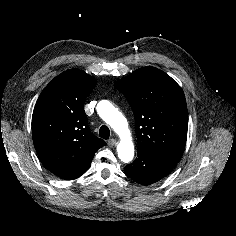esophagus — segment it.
Masks as SVG:
<instances>
[{"label": "esophagus", "instance_id": "obj_1", "mask_svg": "<svg viewBox=\"0 0 236 236\" xmlns=\"http://www.w3.org/2000/svg\"><path fill=\"white\" fill-rule=\"evenodd\" d=\"M117 144V141H116V139H109L108 140V145L110 146V147H113V146H115Z\"/></svg>", "mask_w": 236, "mask_h": 236}]
</instances>
